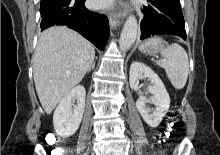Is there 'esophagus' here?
<instances>
[{
    "label": "esophagus",
    "instance_id": "obj_1",
    "mask_svg": "<svg viewBox=\"0 0 220 155\" xmlns=\"http://www.w3.org/2000/svg\"><path fill=\"white\" fill-rule=\"evenodd\" d=\"M119 3L122 5V0H120ZM125 16H126V12L121 8L117 11L111 12L109 16V22L111 28H115L117 25H119L123 21Z\"/></svg>",
    "mask_w": 220,
    "mask_h": 155
}]
</instances>
